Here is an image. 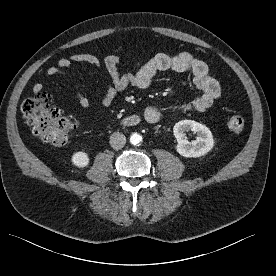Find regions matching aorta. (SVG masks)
<instances>
[{
	"label": "aorta",
	"instance_id": "1",
	"mask_svg": "<svg viewBox=\"0 0 276 276\" xmlns=\"http://www.w3.org/2000/svg\"><path fill=\"white\" fill-rule=\"evenodd\" d=\"M142 141V136L138 133H134L130 136V143L132 145H137Z\"/></svg>",
	"mask_w": 276,
	"mask_h": 276
}]
</instances>
